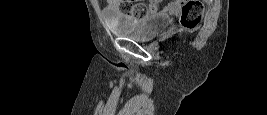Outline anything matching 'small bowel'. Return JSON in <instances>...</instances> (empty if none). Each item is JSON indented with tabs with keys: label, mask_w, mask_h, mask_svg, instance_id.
I'll return each instance as SVG.
<instances>
[{
	"label": "small bowel",
	"mask_w": 267,
	"mask_h": 115,
	"mask_svg": "<svg viewBox=\"0 0 267 115\" xmlns=\"http://www.w3.org/2000/svg\"><path fill=\"white\" fill-rule=\"evenodd\" d=\"M110 6L114 7L116 5V1H109ZM184 5L183 1H173L170 2L166 7L162 8V12L169 14H178L181 12L182 7Z\"/></svg>",
	"instance_id": "c3829d8e"
}]
</instances>
